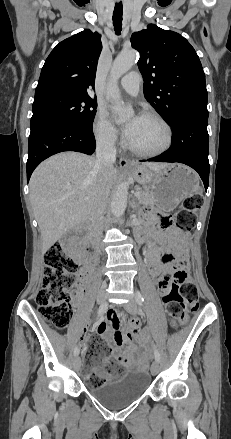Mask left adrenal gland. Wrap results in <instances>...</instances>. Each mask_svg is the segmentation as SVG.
<instances>
[{
  "label": "left adrenal gland",
  "instance_id": "1",
  "mask_svg": "<svg viewBox=\"0 0 231 439\" xmlns=\"http://www.w3.org/2000/svg\"><path fill=\"white\" fill-rule=\"evenodd\" d=\"M137 208H138V204H137V202L134 200L133 203H132V209H133V211H137Z\"/></svg>",
  "mask_w": 231,
  "mask_h": 439
}]
</instances>
